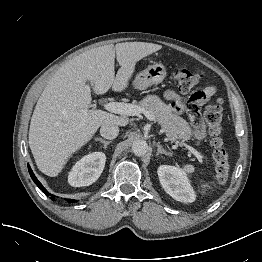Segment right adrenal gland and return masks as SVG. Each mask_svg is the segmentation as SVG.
Listing matches in <instances>:
<instances>
[{
    "label": "right adrenal gland",
    "instance_id": "obj_1",
    "mask_svg": "<svg viewBox=\"0 0 262 262\" xmlns=\"http://www.w3.org/2000/svg\"><path fill=\"white\" fill-rule=\"evenodd\" d=\"M95 140H96V141H100V142L104 145V148H105V149L107 148V145H108V144L112 143V141H106V140H104V139H102V138H96Z\"/></svg>",
    "mask_w": 262,
    "mask_h": 262
}]
</instances>
